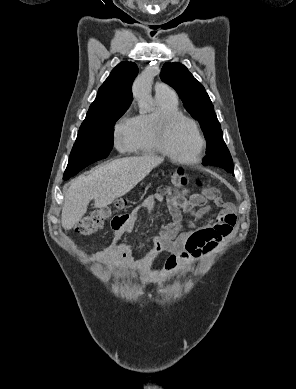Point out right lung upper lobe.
I'll return each mask as SVG.
<instances>
[{"label":"right lung upper lobe","mask_w":296,"mask_h":389,"mask_svg":"<svg viewBox=\"0 0 296 389\" xmlns=\"http://www.w3.org/2000/svg\"><path fill=\"white\" fill-rule=\"evenodd\" d=\"M138 74V67L133 62H121L98 90L95 101L91 104L86 118L104 114L115 108L129 107L132 102V82Z\"/></svg>","instance_id":"obj_1"}]
</instances>
